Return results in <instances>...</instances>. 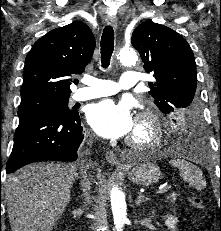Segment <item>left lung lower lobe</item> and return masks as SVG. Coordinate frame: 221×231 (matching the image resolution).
Instances as JSON below:
<instances>
[{
    "label": "left lung lower lobe",
    "mask_w": 221,
    "mask_h": 231,
    "mask_svg": "<svg viewBox=\"0 0 221 231\" xmlns=\"http://www.w3.org/2000/svg\"><path fill=\"white\" fill-rule=\"evenodd\" d=\"M190 127L194 130V134H197V139L203 141L204 140V136L202 134H199L197 132H199V126H197V124H195L194 122H191ZM182 145L185 143L184 139L182 136H178V140Z\"/></svg>",
    "instance_id": "left-lung-lower-lobe-1"
}]
</instances>
